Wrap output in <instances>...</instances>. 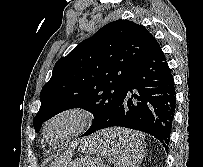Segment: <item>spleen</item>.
Wrapping results in <instances>:
<instances>
[{
  "label": "spleen",
  "instance_id": "obj_1",
  "mask_svg": "<svg viewBox=\"0 0 203 167\" xmlns=\"http://www.w3.org/2000/svg\"><path fill=\"white\" fill-rule=\"evenodd\" d=\"M143 137L137 141L136 147L128 148L127 145L122 143L121 148H104L99 146L98 142L92 141V150L100 153L104 158H107L116 167H138V164L143 158L144 143ZM137 151L140 154L137 155Z\"/></svg>",
  "mask_w": 203,
  "mask_h": 167
}]
</instances>
